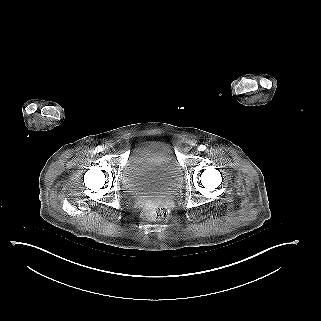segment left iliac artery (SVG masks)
Wrapping results in <instances>:
<instances>
[{
	"label": "left iliac artery",
	"instance_id": "obj_1",
	"mask_svg": "<svg viewBox=\"0 0 321 321\" xmlns=\"http://www.w3.org/2000/svg\"><path fill=\"white\" fill-rule=\"evenodd\" d=\"M205 149H206V146L204 145H200L198 148L199 151H204Z\"/></svg>",
	"mask_w": 321,
	"mask_h": 321
}]
</instances>
